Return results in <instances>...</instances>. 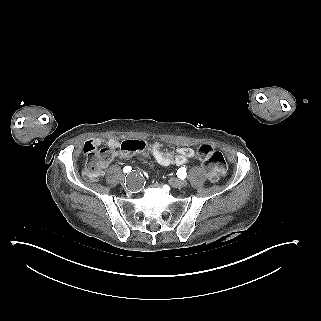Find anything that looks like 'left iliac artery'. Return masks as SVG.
<instances>
[{
    "label": "left iliac artery",
    "mask_w": 321,
    "mask_h": 321,
    "mask_svg": "<svg viewBox=\"0 0 321 321\" xmlns=\"http://www.w3.org/2000/svg\"><path fill=\"white\" fill-rule=\"evenodd\" d=\"M177 174L180 176V178H185L186 175H187V173H186V167L184 166V167L180 168V169L178 170V173H177Z\"/></svg>",
    "instance_id": "1"
}]
</instances>
